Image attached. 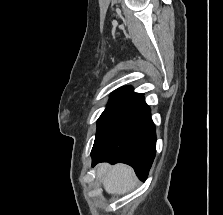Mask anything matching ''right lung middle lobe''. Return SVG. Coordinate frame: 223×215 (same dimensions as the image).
<instances>
[{
  "label": "right lung middle lobe",
  "instance_id": "right-lung-middle-lobe-1",
  "mask_svg": "<svg viewBox=\"0 0 223 215\" xmlns=\"http://www.w3.org/2000/svg\"><path fill=\"white\" fill-rule=\"evenodd\" d=\"M143 101L144 97L141 95L126 92L113 93L106 109L97 121V133L92 152L109 135V133Z\"/></svg>",
  "mask_w": 223,
  "mask_h": 215
}]
</instances>
